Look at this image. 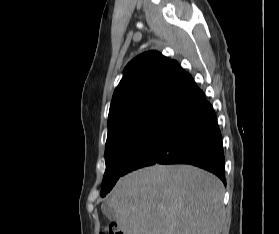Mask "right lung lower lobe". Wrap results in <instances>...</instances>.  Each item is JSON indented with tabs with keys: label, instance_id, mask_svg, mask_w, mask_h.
I'll use <instances>...</instances> for the list:
<instances>
[{
	"label": "right lung lower lobe",
	"instance_id": "1",
	"mask_svg": "<svg viewBox=\"0 0 279 234\" xmlns=\"http://www.w3.org/2000/svg\"><path fill=\"white\" fill-rule=\"evenodd\" d=\"M224 161L215 112L195 84L137 147L123 173L154 164L184 163L214 173L226 185Z\"/></svg>",
	"mask_w": 279,
	"mask_h": 234
}]
</instances>
